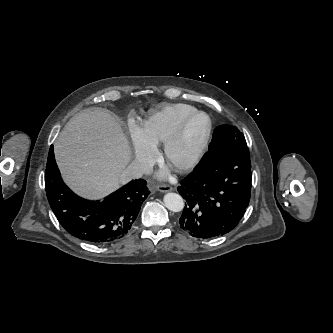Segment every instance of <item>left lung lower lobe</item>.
<instances>
[{"label": "left lung lower lobe", "instance_id": "1", "mask_svg": "<svg viewBox=\"0 0 333 333\" xmlns=\"http://www.w3.org/2000/svg\"><path fill=\"white\" fill-rule=\"evenodd\" d=\"M242 133L231 125L218 126L208 152L178 192L185 199L180 227L197 238H212L233 230L249 205L251 160L247 146L230 155L215 152L226 139Z\"/></svg>", "mask_w": 333, "mask_h": 333}]
</instances>
